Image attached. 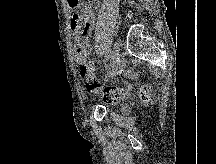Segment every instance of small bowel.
I'll return each instance as SVG.
<instances>
[{
    "label": "small bowel",
    "mask_w": 216,
    "mask_h": 164,
    "mask_svg": "<svg viewBox=\"0 0 216 164\" xmlns=\"http://www.w3.org/2000/svg\"><path fill=\"white\" fill-rule=\"evenodd\" d=\"M72 22L74 25L75 60L79 65L88 67L91 71L96 72L98 68L95 62L89 59L92 47L87 39L94 25V14L91 6L84 5L81 12L72 17Z\"/></svg>",
    "instance_id": "1"
}]
</instances>
